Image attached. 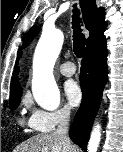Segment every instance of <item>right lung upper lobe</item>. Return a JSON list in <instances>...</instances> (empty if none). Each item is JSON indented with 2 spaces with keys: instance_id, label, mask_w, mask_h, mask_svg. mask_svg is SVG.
Masks as SVG:
<instances>
[{
  "instance_id": "right-lung-upper-lobe-1",
  "label": "right lung upper lobe",
  "mask_w": 123,
  "mask_h": 152,
  "mask_svg": "<svg viewBox=\"0 0 123 152\" xmlns=\"http://www.w3.org/2000/svg\"><path fill=\"white\" fill-rule=\"evenodd\" d=\"M80 5L82 8L83 19L86 26V29L89 30L90 35L86 40V49H89L91 46L97 44L99 41L105 39L104 31L107 26L105 22V13L104 8H97L95 0H80ZM39 29L37 26H33L27 33L22 49L28 46L30 41L38 34ZM19 54V58L21 57ZM18 61L14 69V78L11 81L10 95L22 90L18 82V72L19 67L17 66Z\"/></svg>"
}]
</instances>
